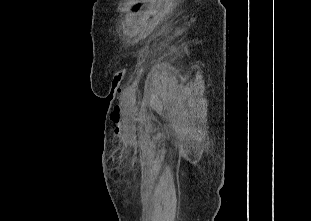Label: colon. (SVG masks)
Returning a JSON list of instances; mask_svg holds the SVG:
<instances>
[{"label":"colon","mask_w":311,"mask_h":221,"mask_svg":"<svg viewBox=\"0 0 311 221\" xmlns=\"http://www.w3.org/2000/svg\"><path fill=\"white\" fill-rule=\"evenodd\" d=\"M140 8V1L139 0H135L132 3V10L137 11Z\"/></svg>","instance_id":"5ec220e1"}]
</instances>
